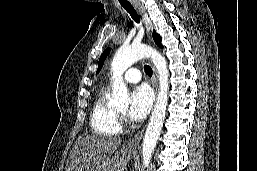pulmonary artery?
I'll return each mask as SVG.
<instances>
[{
    "label": "pulmonary artery",
    "instance_id": "e3ab8cb5",
    "mask_svg": "<svg viewBox=\"0 0 257 171\" xmlns=\"http://www.w3.org/2000/svg\"><path fill=\"white\" fill-rule=\"evenodd\" d=\"M141 78V72L137 68H130L124 74V80L128 83H138Z\"/></svg>",
    "mask_w": 257,
    "mask_h": 171
}]
</instances>
